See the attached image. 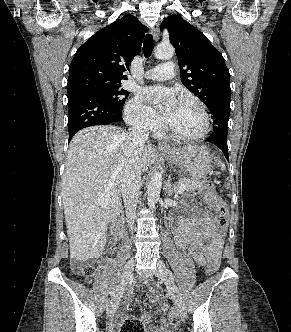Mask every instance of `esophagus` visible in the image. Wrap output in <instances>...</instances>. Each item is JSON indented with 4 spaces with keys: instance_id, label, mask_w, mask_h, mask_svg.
Listing matches in <instances>:
<instances>
[{
    "instance_id": "esophagus-1",
    "label": "esophagus",
    "mask_w": 291,
    "mask_h": 332,
    "mask_svg": "<svg viewBox=\"0 0 291 332\" xmlns=\"http://www.w3.org/2000/svg\"><path fill=\"white\" fill-rule=\"evenodd\" d=\"M151 33L155 39V41H158L159 40V37H160V30L158 27H154L152 30H151ZM158 147L159 148H165L166 147V144L164 143H159L158 144Z\"/></svg>"
}]
</instances>
